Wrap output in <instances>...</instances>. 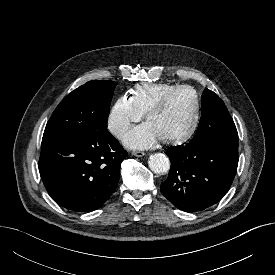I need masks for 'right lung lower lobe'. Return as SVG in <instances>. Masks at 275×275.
Here are the masks:
<instances>
[{
	"label": "right lung lower lobe",
	"instance_id": "right-lung-lower-lobe-1",
	"mask_svg": "<svg viewBox=\"0 0 275 275\" xmlns=\"http://www.w3.org/2000/svg\"><path fill=\"white\" fill-rule=\"evenodd\" d=\"M127 152L108 130L82 137L42 139L39 172L46 190L62 207L91 212L115 191Z\"/></svg>",
	"mask_w": 275,
	"mask_h": 275
}]
</instances>
